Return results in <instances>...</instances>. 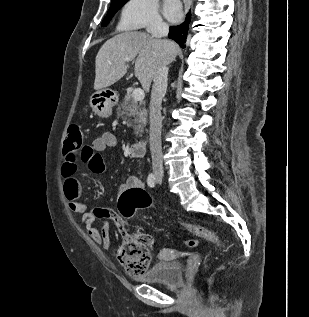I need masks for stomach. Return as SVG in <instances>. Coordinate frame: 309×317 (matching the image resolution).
<instances>
[{"label":"stomach","instance_id":"obj_1","mask_svg":"<svg viewBox=\"0 0 309 317\" xmlns=\"http://www.w3.org/2000/svg\"><path fill=\"white\" fill-rule=\"evenodd\" d=\"M118 103V95L111 89H100L90 97L92 110L100 117H109L112 108Z\"/></svg>","mask_w":309,"mask_h":317}]
</instances>
